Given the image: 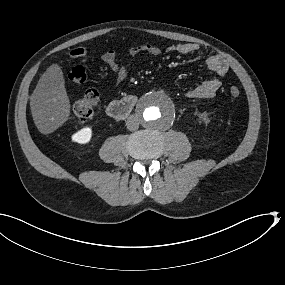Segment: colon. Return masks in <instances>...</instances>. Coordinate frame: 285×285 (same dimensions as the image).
<instances>
[{
  "instance_id": "1",
  "label": "colon",
  "mask_w": 285,
  "mask_h": 285,
  "mask_svg": "<svg viewBox=\"0 0 285 285\" xmlns=\"http://www.w3.org/2000/svg\"><path fill=\"white\" fill-rule=\"evenodd\" d=\"M86 54L87 48L79 46L71 50L70 58L75 60L85 56ZM69 77L73 82L78 84H86L88 82L86 69L82 65L74 66L70 71ZM229 93L232 97L236 98L240 96L241 92L238 87L232 86L229 89ZM98 101L99 93L97 90L94 88L87 89L84 95L73 104V115L82 120L91 118Z\"/></svg>"
}]
</instances>
